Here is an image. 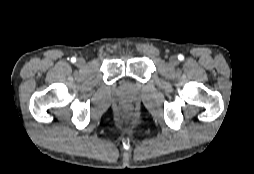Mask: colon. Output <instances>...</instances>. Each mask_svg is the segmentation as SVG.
<instances>
[{
    "label": "colon",
    "mask_w": 254,
    "mask_h": 174,
    "mask_svg": "<svg viewBox=\"0 0 254 174\" xmlns=\"http://www.w3.org/2000/svg\"><path fill=\"white\" fill-rule=\"evenodd\" d=\"M131 117V111L129 109H125L123 111V118L128 120Z\"/></svg>",
    "instance_id": "colon-1"
}]
</instances>
